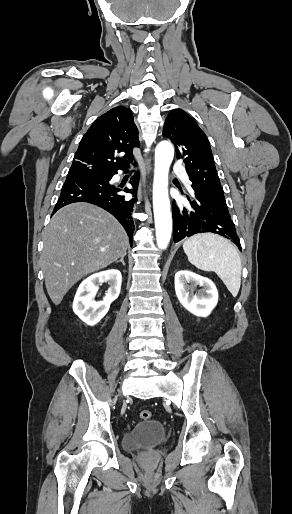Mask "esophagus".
<instances>
[{
	"mask_svg": "<svg viewBox=\"0 0 292 514\" xmlns=\"http://www.w3.org/2000/svg\"><path fill=\"white\" fill-rule=\"evenodd\" d=\"M144 157H145V162H146V172H147V174H149L151 172V163L148 160L147 154H145ZM138 198L139 199L142 198V183H140L139 187H138Z\"/></svg>",
	"mask_w": 292,
	"mask_h": 514,
	"instance_id": "1",
	"label": "esophagus"
}]
</instances>
